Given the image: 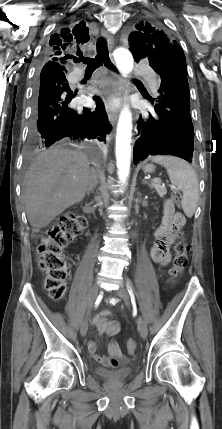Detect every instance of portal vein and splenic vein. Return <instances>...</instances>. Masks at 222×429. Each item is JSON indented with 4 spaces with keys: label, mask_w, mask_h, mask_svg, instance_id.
Instances as JSON below:
<instances>
[{
    "label": "portal vein and splenic vein",
    "mask_w": 222,
    "mask_h": 429,
    "mask_svg": "<svg viewBox=\"0 0 222 429\" xmlns=\"http://www.w3.org/2000/svg\"><path fill=\"white\" fill-rule=\"evenodd\" d=\"M154 183L161 184V179L155 178L152 180Z\"/></svg>",
    "instance_id": "18ae733b"
}]
</instances>
